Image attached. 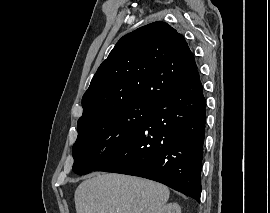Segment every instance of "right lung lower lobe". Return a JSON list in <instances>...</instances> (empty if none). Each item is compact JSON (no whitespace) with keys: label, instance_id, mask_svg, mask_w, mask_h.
<instances>
[{"label":"right lung lower lobe","instance_id":"1","mask_svg":"<svg viewBox=\"0 0 270 213\" xmlns=\"http://www.w3.org/2000/svg\"><path fill=\"white\" fill-rule=\"evenodd\" d=\"M205 107L195 71L159 100L139 130L94 171L155 180L199 202Z\"/></svg>","mask_w":270,"mask_h":213}]
</instances>
